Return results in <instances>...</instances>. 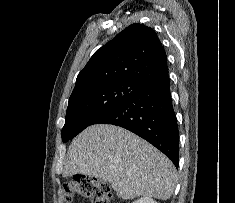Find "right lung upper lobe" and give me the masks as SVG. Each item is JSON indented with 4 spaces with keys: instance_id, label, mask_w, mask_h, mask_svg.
Listing matches in <instances>:
<instances>
[{
    "instance_id": "obj_1",
    "label": "right lung upper lobe",
    "mask_w": 235,
    "mask_h": 203,
    "mask_svg": "<svg viewBox=\"0 0 235 203\" xmlns=\"http://www.w3.org/2000/svg\"><path fill=\"white\" fill-rule=\"evenodd\" d=\"M167 73L166 53L155 31L132 24L95 52L78 74L73 92L115 80L146 85Z\"/></svg>"
}]
</instances>
